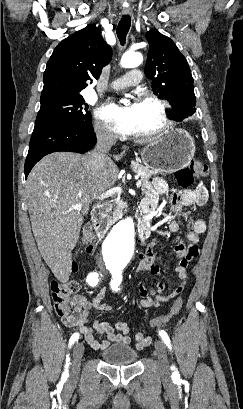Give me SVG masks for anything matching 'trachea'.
Returning <instances> with one entry per match:
<instances>
[{
    "mask_svg": "<svg viewBox=\"0 0 243 409\" xmlns=\"http://www.w3.org/2000/svg\"><path fill=\"white\" fill-rule=\"evenodd\" d=\"M131 18L129 15L123 16L117 27V36L121 42V45L125 44L126 35L130 29Z\"/></svg>",
    "mask_w": 243,
    "mask_h": 409,
    "instance_id": "3493384b",
    "label": "trachea"
}]
</instances>
